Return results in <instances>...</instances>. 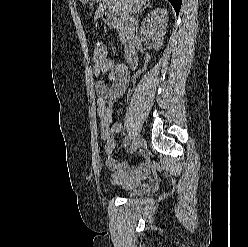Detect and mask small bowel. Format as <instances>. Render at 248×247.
Masks as SVG:
<instances>
[{
    "instance_id": "obj_1",
    "label": "small bowel",
    "mask_w": 248,
    "mask_h": 247,
    "mask_svg": "<svg viewBox=\"0 0 248 247\" xmlns=\"http://www.w3.org/2000/svg\"><path fill=\"white\" fill-rule=\"evenodd\" d=\"M93 73L96 77L97 113L100 133L104 141L106 166L115 183L132 187L150 174V168L146 164L128 166L126 162H117L114 157L115 135L121 131L122 124L119 121H112L111 105L125 93L128 87L127 68L122 64H116L111 58L97 60L94 57ZM103 73H108V77H103Z\"/></svg>"
}]
</instances>
